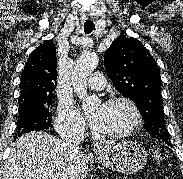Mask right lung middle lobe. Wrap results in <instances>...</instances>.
I'll return each instance as SVG.
<instances>
[{
  "label": "right lung middle lobe",
  "instance_id": "1",
  "mask_svg": "<svg viewBox=\"0 0 183 179\" xmlns=\"http://www.w3.org/2000/svg\"><path fill=\"white\" fill-rule=\"evenodd\" d=\"M51 102L52 96L19 100L16 138L24 133L52 127L49 111Z\"/></svg>",
  "mask_w": 183,
  "mask_h": 179
}]
</instances>
